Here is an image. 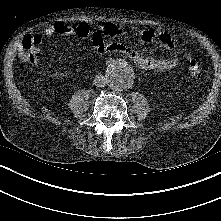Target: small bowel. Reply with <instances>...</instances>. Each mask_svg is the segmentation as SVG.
<instances>
[{
	"label": "small bowel",
	"mask_w": 221,
	"mask_h": 221,
	"mask_svg": "<svg viewBox=\"0 0 221 221\" xmlns=\"http://www.w3.org/2000/svg\"><path fill=\"white\" fill-rule=\"evenodd\" d=\"M133 34L141 42L162 45L165 49L172 52L169 57H159L145 55L123 43L107 41V39L127 37ZM47 38L54 36H75L81 39L90 38L94 50L98 56L102 57L106 53H120L132 60L140 69L144 70H170L179 63V57L175 51L176 45L174 39L167 33L156 32L153 30H135L132 31L125 25H109L100 29H91L85 24H68L58 22L48 26L42 32ZM41 43V36H35Z\"/></svg>",
	"instance_id": "1"
}]
</instances>
